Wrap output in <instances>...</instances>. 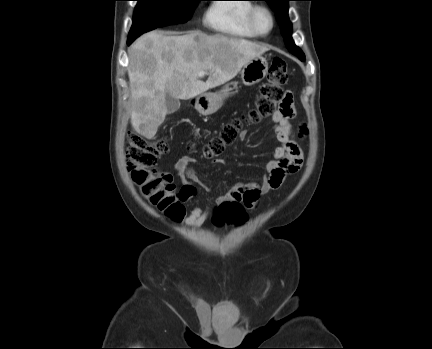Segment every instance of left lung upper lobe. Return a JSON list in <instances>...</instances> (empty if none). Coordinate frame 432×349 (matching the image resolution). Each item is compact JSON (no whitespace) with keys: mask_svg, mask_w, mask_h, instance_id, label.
Masks as SVG:
<instances>
[{"mask_svg":"<svg viewBox=\"0 0 432 349\" xmlns=\"http://www.w3.org/2000/svg\"><path fill=\"white\" fill-rule=\"evenodd\" d=\"M266 1L271 9L276 13V18L280 25L281 33L284 37V42L287 49L297 56L301 61L304 60L305 55L299 47H297L292 39L291 30L292 24L288 17V1L290 0H263Z\"/></svg>","mask_w":432,"mask_h":349,"instance_id":"5c2ea615","label":"left lung upper lobe"}]
</instances>
